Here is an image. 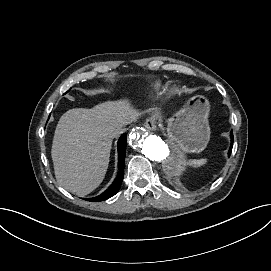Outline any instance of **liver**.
Segmentation results:
<instances>
[{
  "label": "liver",
  "mask_w": 271,
  "mask_h": 271,
  "mask_svg": "<svg viewBox=\"0 0 271 271\" xmlns=\"http://www.w3.org/2000/svg\"><path fill=\"white\" fill-rule=\"evenodd\" d=\"M137 117L138 113L123 102L64 113L56 127L52 146L59 184L79 196L94 191L105 177L116 130Z\"/></svg>",
  "instance_id": "liver-1"
}]
</instances>
